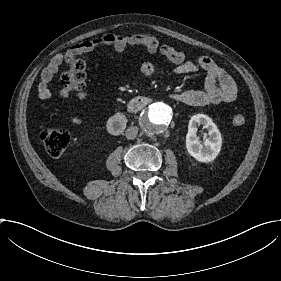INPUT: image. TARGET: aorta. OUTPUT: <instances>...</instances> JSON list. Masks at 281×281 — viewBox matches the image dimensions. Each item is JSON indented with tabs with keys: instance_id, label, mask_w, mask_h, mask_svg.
I'll list each match as a JSON object with an SVG mask.
<instances>
[{
	"instance_id": "762f6f07",
	"label": "aorta",
	"mask_w": 281,
	"mask_h": 281,
	"mask_svg": "<svg viewBox=\"0 0 281 281\" xmlns=\"http://www.w3.org/2000/svg\"><path fill=\"white\" fill-rule=\"evenodd\" d=\"M172 119V109L165 103L151 104L141 114V122L148 134H158L165 130Z\"/></svg>"
}]
</instances>
